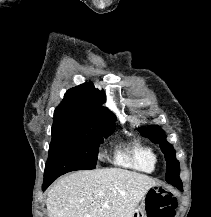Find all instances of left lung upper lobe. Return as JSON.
I'll use <instances>...</instances> for the list:
<instances>
[{
    "mask_svg": "<svg viewBox=\"0 0 211 217\" xmlns=\"http://www.w3.org/2000/svg\"><path fill=\"white\" fill-rule=\"evenodd\" d=\"M140 133L148 137L152 142L159 143L162 152L165 155L167 172L165 180L178 187H182V182L179 177L180 167L179 162L175 156V150L173 146L166 141V136L159 126H150L148 128L139 129Z\"/></svg>",
    "mask_w": 211,
    "mask_h": 217,
    "instance_id": "1",
    "label": "left lung upper lobe"
}]
</instances>
